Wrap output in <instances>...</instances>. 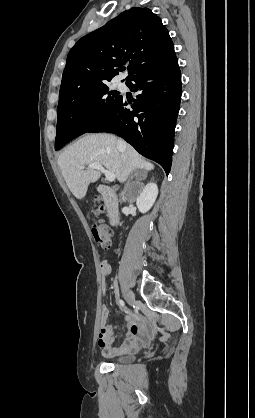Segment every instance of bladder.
Here are the masks:
<instances>
[{"label": "bladder", "mask_w": 255, "mask_h": 418, "mask_svg": "<svg viewBox=\"0 0 255 418\" xmlns=\"http://www.w3.org/2000/svg\"><path fill=\"white\" fill-rule=\"evenodd\" d=\"M132 360H133V356L131 355L120 356V357L111 359V361L115 363H128V362H131Z\"/></svg>", "instance_id": "bladder-1"}]
</instances>
